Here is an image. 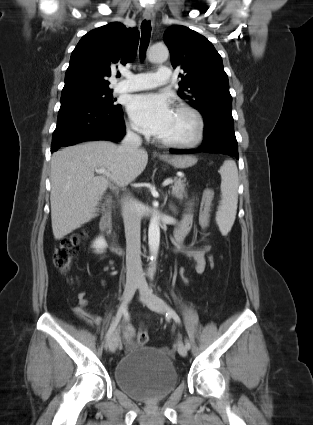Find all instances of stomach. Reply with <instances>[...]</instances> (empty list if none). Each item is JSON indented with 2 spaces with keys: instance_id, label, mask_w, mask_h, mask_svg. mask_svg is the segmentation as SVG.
<instances>
[{
  "instance_id": "stomach-1",
  "label": "stomach",
  "mask_w": 313,
  "mask_h": 425,
  "mask_svg": "<svg viewBox=\"0 0 313 425\" xmlns=\"http://www.w3.org/2000/svg\"><path fill=\"white\" fill-rule=\"evenodd\" d=\"M163 160L176 169H186L197 162V159L190 155H173L163 158Z\"/></svg>"
}]
</instances>
